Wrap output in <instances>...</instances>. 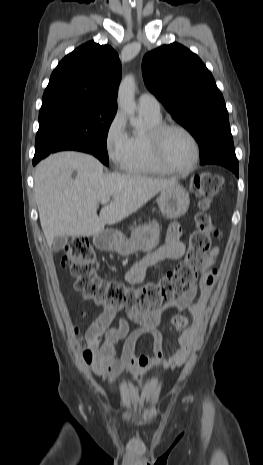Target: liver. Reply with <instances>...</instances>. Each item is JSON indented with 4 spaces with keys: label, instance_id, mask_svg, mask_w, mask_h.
Wrapping results in <instances>:
<instances>
[{
    "label": "liver",
    "instance_id": "6515ba94",
    "mask_svg": "<svg viewBox=\"0 0 263 465\" xmlns=\"http://www.w3.org/2000/svg\"><path fill=\"white\" fill-rule=\"evenodd\" d=\"M177 184L176 179L104 174L95 157L71 151L50 155L34 174L40 223L49 247L58 236L99 234L106 225L122 221L158 192ZM106 198L113 200L98 215L99 203Z\"/></svg>",
    "mask_w": 263,
    "mask_h": 465
}]
</instances>
